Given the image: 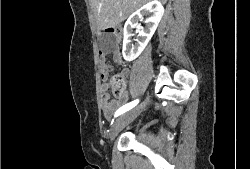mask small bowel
<instances>
[{
    "label": "small bowel",
    "mask_w": 250,
    "mask_h": 169,
    "mask_svg": "<svg viewBox=\"0 0 250 169\" xmlns=\"http://www.w3.org/2000/svg\"><path fill=\"white\" fill-rule=\"evenodd\" d=\"M113 60L115 64L121 65L123 63V58L120 51L117 48L112 50ZM107 53H102L101 55V79H102V98H103V111L106 117L110 118L113 113L122 105L125 101L126 96L117 99L111 100L109 93V76L113 72V67L110 64L105 62V56ZM129 69L125 68L122 70V77L127 78L129 76Z\"/></svg>",
    "instance_id": "c3829d8e"
}]
</instances>
